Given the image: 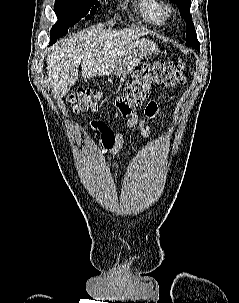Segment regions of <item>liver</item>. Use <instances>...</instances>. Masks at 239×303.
<instances>
[{
    "label": "liver",
    "mask_w": 239,
    "mask_h": 303,
    "mask_svg": "<svg viewBox=\"0 0 239 303\" xmlns=\"http://www.w3.org/2000/svg\"><path fill=\"white\" fill-rule=\"evenodd\" d=\"M147 34L138 28L116 31L95 27L58 42L47 58L54 97L60 99L76 83L80 64L85 79L111 74L126 53L137 46L140 37Z\"/></svg>",
    "instance_id": "1"
}]
</instances>
